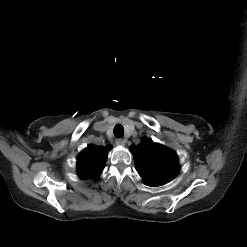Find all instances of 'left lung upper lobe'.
Segmentation results:
<instances>
[{
  "instance_id": "obj_1",
  "label": "left lung upper lobe",
  "mask_w": 247,
  "mask_h": 247,
  "mask_svg": "<svg viewBox=\"0 0 247 247\" xmlns=\"http://www.w3.org/2000/svg\"><path fill=\"white\" fill-rule=\"evenodd\" d=\"M135 169L149 186H160L173 179L180 166L176 153L152 140L144 139L132 145Z\"/></svg>"
}]
</instances>
